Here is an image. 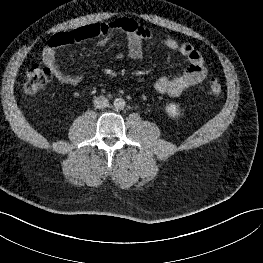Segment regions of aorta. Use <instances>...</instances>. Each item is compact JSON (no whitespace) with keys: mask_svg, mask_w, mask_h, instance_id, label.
Returning <instances> with one entry per match:
<instances>
[{"mask_svg":"<svg viewBox=\"0 0 263 263\" xmlns=\"http://www.w3.org/2000/svg\"><path fill=\"white\" fill-rule=\"evenodd\" d=\"M115 109L122 110L126 106V102L123 98H116L113 103Z\"/></svg>","mask_w":263,"mask_h":263,"instance_id":"obj_1","label":"aorta"}]
</instances>
